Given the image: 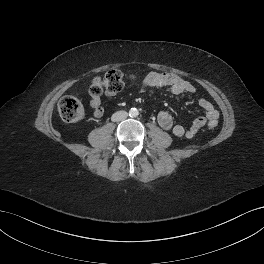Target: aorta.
<instances>
[{"mask_svg":"<svg viewBox=\"0 0 264 264\" xmlns=\"http://www.w3.org/2000/svg\"><path fill=\"white\" fill-rule=\"evenodd\" d=\"M139 115V111L136 108H131L129 111L130 117H137Z\"/></svg>","mask_w":264,"mask_h":264,"instance_id":"obj_1","label":"aorta"}]
</instances>
